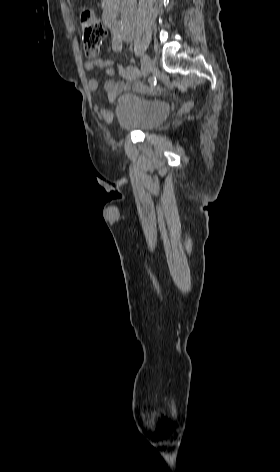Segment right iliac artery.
Instances as JSON below:
<instances>
[{
  "mask_svg": "<svg viewBox=\"0 0 280 472\" xmlns=\"http://www.w3.org/2000/svg\"><path fill=\"white\" fill-rule=\"evenodd\" d=\"M114 38L112 41V48L114 51L119 52L122 49V40H121V26L115 25L113 28ZM127 71L133 76L135 79L141 77V72L137 67L129 66L127 67Z\"/></svg>",
  "mask_w": 280,
  "mask_h": 472,
  "instance_id": "obj_1",
  "label": "right iliac artery"
}]
</instances>
